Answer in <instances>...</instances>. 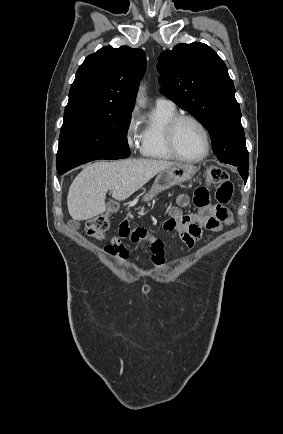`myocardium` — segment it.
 <instances>
[{
    "label": "myocardium",
    "instance_id": "myocardium-1",
    "mask_svg": "<svg viewBox=\"0 0 283 434\" xmlns=\"http://www.w3.org/2000/svg\"><path fill=\"white\" fill-rule=\"evenodd\" d=\"M184 120H188V121L193 122L194 124H196L198 126V128L202 132L203 139H204V151L201 155H199L197 157H187V156L182 155L176 146V141H175L176 129H177V126L179 125V123L184 121ZM165 140H166L167 147H168L169 151L171 152V154L176 159L184 161V162L195 163V162L202 161L203 159H205L209 155L210 148H211L210 135H209V132H208L206 126L197 117L190 115V114H177L167 123L166 128H165Z\"/></svg>",
    "mask_w": 283,
    "mask_h": 434
}]
</instances>
